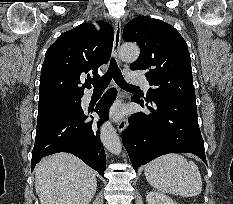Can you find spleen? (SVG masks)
<instances>
[{
  "label": "spleen",
  "instance_id": "1",
  "mask_svg": "<svg viewBox=\"0 0 233 204\" xmlns=\"http://www.w3.org/2000/svg\"><path fill=\"white\" fill-rule=\"evenodd\" d=\"M145 177L153 188L164 193L192 197L202 191L197 165L176 153L163 155L148 163Z\"/></svg>",
  "mask_w": 233,
  "mask_h": 204
}]
</instances>
